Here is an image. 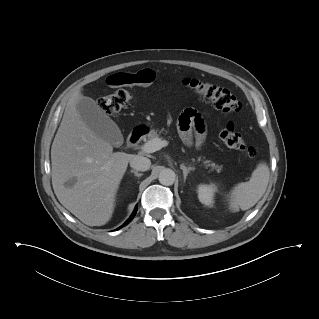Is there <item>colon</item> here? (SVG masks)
<instances>
[{
  "label": "colon",
  "mask_w": 319,
  "mask_h": 319,
  "mask_svg": "<svg viewBox=\"0 0 319 319\" xmlns=\"http://www.w3.org/2000/svg\"><path fill=\"white\" fill-rule=\"evenodd\" d=\"M109 84L118 89L101 98L100 106L109 115H119L129 107L132 98V87L141 85V80L133 75L115 74L109 78ZM184 84L200 95L206 102L224 113H235L240 109V102L228 89L202 82L195 79H186ZM220 139L230 148L240 151L248 158H254L256 150L248 145L243 138L234 130L232 124H227L220 131Z\"/></svg>",
  "instance_id": "5ec220e1"
}]
</instances>
